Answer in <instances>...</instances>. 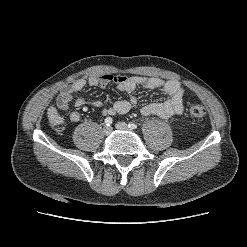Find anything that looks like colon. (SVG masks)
<instances>
[{"label":"colon","instance_id":"obj_1","mask_svg":"<svg viewBox=\"0 0 247 247\" xmlns=\"http://www.w3.org/2000/svg\"><path fill=\"white\" fill-rule=\"evenodd\" d=\"M188 114L192 120L200 121L205 117L206 110L202 105L193 104L189 107Z\"/></svg>","mask_w":247,"mask_h":247}]
</instances>
